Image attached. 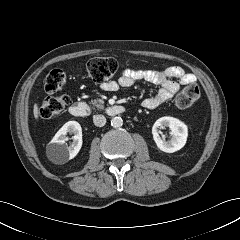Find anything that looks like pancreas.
I'll use <instances>...</instances> for the list:
<instances>
[{
	"mask_svg": "<svg viewBox=\"0 0 240 240\" xmlns=\"http://www.w3.org/2000/svg\"><path fill=\"white\" fill-rule=\"evenodd\" d=\"M93 108L103 109L104 108V101L102 99H95L91 101Z\"/></svg>",
	"mask_w": 240,
	"mask_h": 240,
	"instance_id": "1",
	"label": "pancreas"
}]
</instances>
